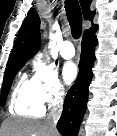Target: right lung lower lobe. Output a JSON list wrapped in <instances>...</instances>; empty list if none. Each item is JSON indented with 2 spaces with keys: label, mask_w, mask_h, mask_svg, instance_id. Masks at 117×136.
Returning <instances> with one entry per match:
<instances>
[{
  "label": "right lung lower lobe",
  "mask_w": 117,
  "mask_h": 136,
  "mask_svg": "<svg viewBox=\"0 0 117 136\" xmlns=\"http://www.w3.org/2000/svg\"><path fill=\"white\" fill-rule=\"evenodd\" d=\"M95 31L84 33L82 38V55L79 63V74L76 82L68 91L62 115L57 129L62 136H76L86 111L89 84L92 79V67L95 61L94 49L98 41Z\"/></svg>",
  "instance_id": "right-lung-lower-lobe-1"
}]
</instances>
